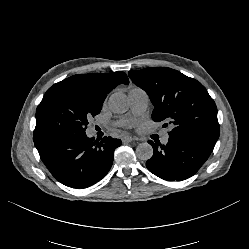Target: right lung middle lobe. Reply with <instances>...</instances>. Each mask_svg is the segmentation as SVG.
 Here are the masks:
<instances>
[{
    "instance_id": "1",
    "label": "right lung middle lobe",
    "mask_w": 249,
    "mask_h": 249,
    "mask_svg": "<svg viewBox=\"0 0 249 249\" xmlns=\"http://www.w3.org/2000/svg\"><path fill=\"white\" fill-rule=\"evenodd\" d=\"M102 104L75 88L48 90L36 111L35 135L84 133L88 118L99 114Z\"/></svg>"
}]
</instances>
